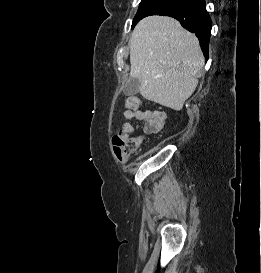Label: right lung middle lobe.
I'll use <instances>...</instances> for the list:
<instances>
[{
  "instance_id": "dd1d6c3e",
  "label": "right lung middle lobe",
  "mask_w": 261,
  "mask_h": 273,
  "mask_svg": "<svg viewBox=\"0 0 261 273\" xmlns=\"http://www.w3.org/2000/svg\"><path fill=\"white\" fill-rule=\"evenodd\" d=\"M167 0H142L132 23V28L144 17L156 15L168 9Z\"/></svg>"
}]
</instances>
